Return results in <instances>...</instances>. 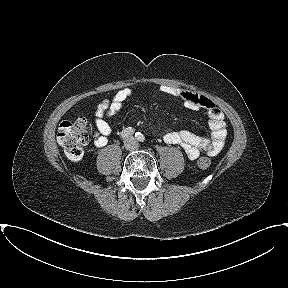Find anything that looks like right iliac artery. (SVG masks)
I'll return each mask as SVG.
<instances>
[{
	"label": "right iliac artery",
	"mask_w": 288,
	"mask_h": 288,
	"mask_svg": "<svg viewBox=\"0 0 288 288\" xmlns=\"http://www.w3.org/2000/svg\"><path fill=\"white\" fill-rule=\"evenodd\" d=\"M134 133V129L131 128V127H128L126 129H124L122 132H121V138L122 139H126L128 138L130 135H132Z\"/></svg>",
	"instance_id": "right-iliac-artery-1"
}]
</instances>
